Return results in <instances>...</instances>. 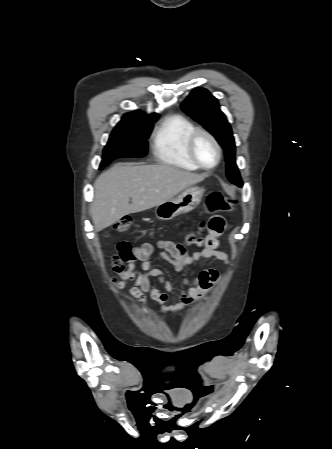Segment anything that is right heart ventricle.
Returning a JSON list of instances; mask_svg holds the SVG:
<instances>
[{"instance_id": "1", "label": "right heart ventricle", "mask_w": 332, "mask_h": 449, "mask_svg": "<svg viewBox=\"0 0 332 449\" xmlns=\"http://www.w3.org/2000/svg\"><path fill=\"white\" fill-rule=\"evenodd\" d=\"M195 124L180 114L166 117L158 127L152 144V151L163 164L185 170H197L187 153V139L196 129Z\"/></svg>"}]
</instances>
